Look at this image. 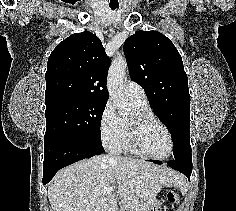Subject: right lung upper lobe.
I'll use <instances>...</instances> for the list:
<instances>
[{"instance_id": "obj_1", "label": "right lung upper lobe", "mask_w": 236, "mask_h": 211, "mask_svg": "<svg viewBox=\"0 0 236 211\" xmlns=\"http://www.w3.org/2000/svg\"><path fill=\"white\" fill-rule=\"evenodd\" d=\"M110 60L99 38L91 32L75 33L50 54L46 78V106L63 100L107 102Z\"/></svg>"}]
</instances>
